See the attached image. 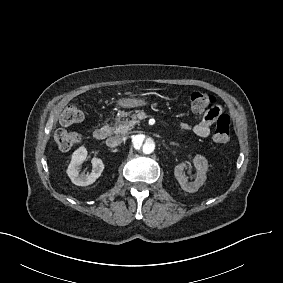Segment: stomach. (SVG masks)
Segmentation results:
<instances>
[{"label": "stomach", "mask_w": 283, "mask_h": 283, "mask_svg": "<svg viewBox=\"0 0 283 283\" xmlns=\"http://www.w3.org/2000/svg\"><path fill=\"white\" fill-rule=\"evenodd\" d=\"M146 102L142 99L123 98L118 100V105L124 108H132L145 105Z\"/></svg>", "instance_id": "0dacf381"}]
</instances>
